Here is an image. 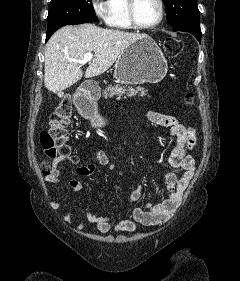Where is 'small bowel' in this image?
I'll list each match as a JSON object with an SVG mask.
<instances>
[{
  "mask_svg": "<svg viewBox=\"0 0 240 281\" xmlns=\"http://www.w3.org/2000/svg\"><path fill=\"white\" fill-rule=\"evenodd\" d=\"M149 121L155 125L166 127L170 129L171 135L176 139V145L169 156V164L175 170L182 171V176L178 177L176 173L168 171L165 174V183L167 189V197L149 203L145 208L136 207L131 211V219L124 218V215L119 216L118 222L113 225L112 219L109 216L95 214L91 211L88 205H83L81 210L82 220L76 226L77 229H82L85 222L93 225L91 231L101 234H108L115 232H134L138 225L152 226L165 223L177 211L183 196V192L187 188L194 175L195 161L193 157L188 154L196 143V132L194 128L188 127L180 123L175 117L163 114L156 111H149L146 114ZM97 162L106 166L108 169L114 171L118 176H122L123 172L118 169L110 160L108 155L102 150H95L93 152ZM67 159L59 157L53 160L52 169L50 173L45 174V181L52 184H61L63 188L71 193L79 192L82 188L81 182L72 177L66 180L61 178V173L57 168L59 162ZM96 170L95 163H88L77 167L74 170L75 175L80 177H89ZM141 198V185H137L130 194V203H135ZM53 209L65 208L63 202H52ZM65 222L72 221V214L69 210H65Z\"/></svg>",
  "mask_w": 240,
  "mask_h": 281,
  "instance_id": "1",
  "label": "small bowel"
}]
</instances>
